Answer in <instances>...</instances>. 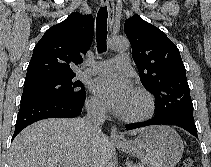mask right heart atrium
Wrapping results in <instances>:
<instances>
[{
    "mask_svg": "<svg viewBox=\"0 0 211 167\" xmlns=\"http://www.w3.org/2000/svg\"><path fill=\"white\" fill-rule=\"evenodd\" d=\"M89 107L92 111L96 112V113H102L104 111L103 106L95 99H90L89 100Z\"/></svg>",
    "mask_w": 211,
    "mask_h": 167,
    "instance_id": "1",
    "label": "right heart atrium"
}]
</instances>
